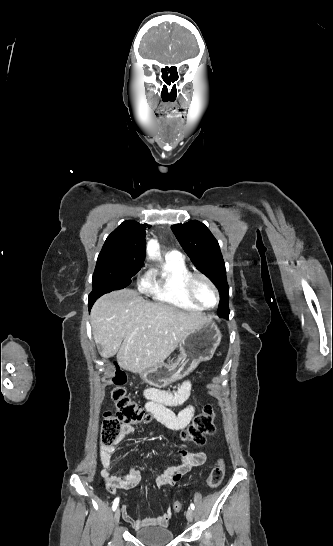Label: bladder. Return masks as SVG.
I'll return each instance as SVG.
<instances>
[{
  "mask_svg": "<svg viewBox=\"0 0 333 546\" xmlns=\"http://www.w3.org/2000/svg\"><path fill=\"white\" fill-rule=\"evenodd\" d=\"M135 537L147 546H165L173 538V532L165 527L149 526L135 532Z\"/></svg>",
  "mask_w": 333,
  "mask_h": 546,
  "instance_id": "bladder-1",
  "label": "bladder"
}]
</instances>
